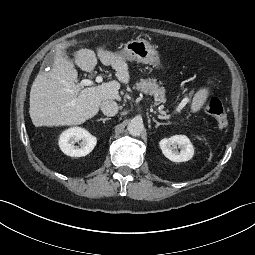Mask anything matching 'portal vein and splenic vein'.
Returning a JSON list of instances; mask_svg holds the SVG:
<instances>
[{"mask_svg": "<svg viewBox=\"0 0 255 255\" xmlns=\"http://www.w3.org/2000/svg\"><path fill=\"white\" fill-rule=\"evenodd\" d=\"M95 81L97 83H101L103 82V77L102 76H97ZM94 85V82L92 80L89 79H84L82 81H80V83L78 84V86L83 87V86H91Z\"/></svg>", "mask_w": 255, "mask_h": 255, "instance_id": "18ae733b", "label": "portal vein and splenic vein"}]
</instances>
